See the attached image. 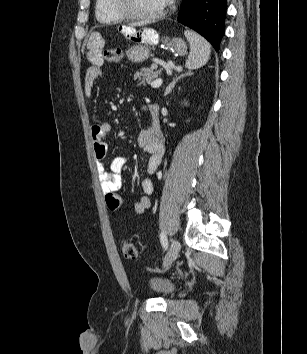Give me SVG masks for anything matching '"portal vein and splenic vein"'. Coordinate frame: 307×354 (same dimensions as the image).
I'll list each match as a JSON object with an SVG mask.
<instances>
[{"mask_svg":"<svg viewBox=\"0 0 307 354\" xmlns=\"http://www.w3.org/2000/svg\"><path fill=\"white\" fill-rule=\"evenodd\" d=\"M162 83H163V80L161 78H158L151 83V87L158 88L162 85Z\"/></svg>","mask_w":307,"mask_h":354,"instance_id":"18ae733b","label":"portal vein and splenic vein"}]
</instances>
